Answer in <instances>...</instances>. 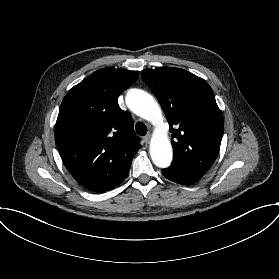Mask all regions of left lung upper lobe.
I'll use <instances>...</instances> for the list:
<instances>
[{"instance_id":"1","label":"left lung upper lobe","mask_w":279,"mask_h":279,"mask_svg":"<svg viewBox=\"0 0 279 279\" xmlns=\"http://www.w3.org/2000/svg\"><path fill=\"white\" fill-rule=\"evenodd\" d=\"M142 79L160 100L170 125L171 167L203 176L218 156L224 129L211 87L180 68L145 69Z\"/></svg>"}]
</instances>
